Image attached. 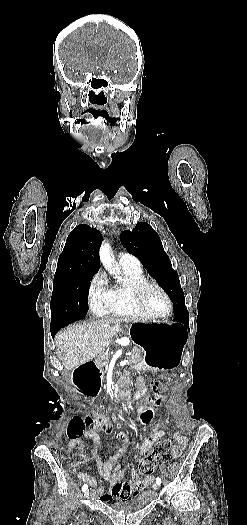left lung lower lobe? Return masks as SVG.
Returning <instances> with one entry per match:
<instances>
[{
	"label": "left lung lower lobe",
	"mask_w": 247,
	"mask_h": 525,
	"mask_svg": "<svg viewBox=\"0 0 247 525\" xmlns=\"http://www.w3.org/2000/svg\"><path fill=\"white\" fill-rule=\"evenodd\" d=\"M174 320L186 325L187 327L189 326V319L181 320V319L174 318Z\"/></svg>",
	"instance_id": "0a47b994"
}]
</instances>
